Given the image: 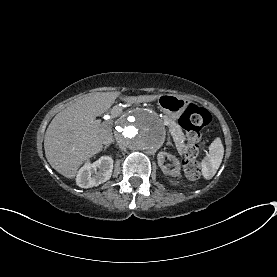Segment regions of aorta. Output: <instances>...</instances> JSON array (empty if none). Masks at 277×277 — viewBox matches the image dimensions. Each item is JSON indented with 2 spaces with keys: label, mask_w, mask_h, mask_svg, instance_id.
Returning <instances> with one entry per match:
<instances>
[{
  "label": "aorta",
  "mask_w": 277,
  "mask_h": 277,
  "mask_svg": "<svg viewBox=\"0 0 277 277\" xmlns=\"http://www.w3.org/2000/svg\"><path fill=\"white\" fill-rule=\"evenodd\" d=\"M165 137V127L160 118L146 109L134 110L121 117L115 130L119 146L148 154L156 152Z\"/></svg>",
  "instance_id": "762f6f07"
}]
</instances>
